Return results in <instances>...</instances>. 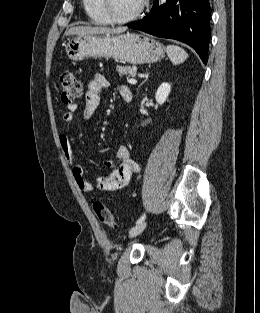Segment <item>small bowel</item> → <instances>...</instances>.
Here are the masks:
<instances>
[{
	"label": "small bowel",
	"mask_w": 260,
	"mask_h": 313,
	"mask_svg": "<svg viewBox=\"0 0 260 313\" xmlns=\"http://www.w3.org/2000/svg\"><path fill=\"white\" fill-rule=\"evenodd\" d=\"M108 85L107 78L102 74L95 75L89 82L86 91V103L83 110L84 119L90 120L94 117L100 104V95ZM119 95L125 102H130L132 99V93L126 86L119 88ZM76 110L77 105H70L68 111L63 115V121L66 123L72 122ZM59 141L61 149L71 166L73 179L78 188L84 193H95L97 191L116 192L126 187L132 176L138 172V165L131 158L128 148L120 146L116 153L120 163L107 162L106 165L111 167V171L106 175L98 176L96 182L93 184L85 177L83 168L75 158L70 137L66 133H62Z\"/></svg>",
	"instance_id": "obj_1"
}]
</instances>
